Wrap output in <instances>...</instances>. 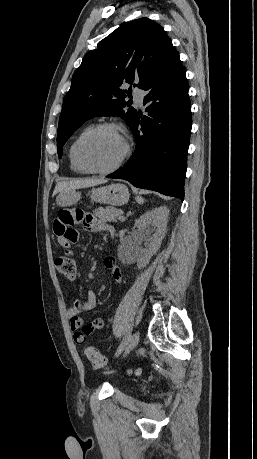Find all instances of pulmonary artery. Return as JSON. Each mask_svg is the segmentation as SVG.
<instances>
[{
    "label": "pulmonary artery",
    "instance_id": "e3ab8cb5",
    "mask_svg": "<svg viewBox=\"0 0 257 459\" xmlns=\"http://www.w3.org/2000/svg\"><path fill=\"white\" fill-rule=\"evenodd\" d=\"M144 98H145V92L143 90H141V89H136L135 92H134V99H135L136 103L138 105L142 106Z\"/></svg>",
    "mask_w": 257,
    "mask_h": 459
}]
</instances>
